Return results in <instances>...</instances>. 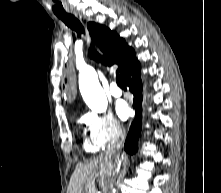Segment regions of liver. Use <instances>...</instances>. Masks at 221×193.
Returning a JSON list of instances; mask_svg holds the SVG:
<instances>
[{
	"label": "liver",
	"mask_w": 221,
	"mask_h": 193,
	"mask_svg": "<svg viewBox=\"0 0 221 193\" xmlns=\"http://www.w3.org/2000/svg\"><path fill=\"white\" fill-rule=\"evenodd\" d=\"M115 170V155L108 151L87 164H78L70 178L67 193H95L96 172L109 177Z\"/></svg>",
	"instance_id": "6515ba94"
}]
</instances>
